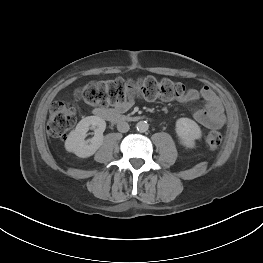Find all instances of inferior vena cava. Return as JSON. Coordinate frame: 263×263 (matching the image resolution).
I'll return each mask as SVG.
<instances>
[{"mask_svg": "<svg viewBox=\"0 0 263 263\" xmlns=\"http://www.w3.org/2000/svg\"><path fill=\"white\" fill-rule=\"evenodd\" d=\"M129 129H130L129 124L126 121H120L117 124V130L119 132L125 133V132H128Z\"/></svg>", "mask_w": 263, "mask_h": 263, "instance_id": "1", "label": "inferior vena cava"}]
</instances>
